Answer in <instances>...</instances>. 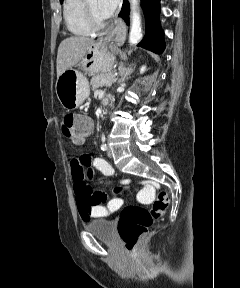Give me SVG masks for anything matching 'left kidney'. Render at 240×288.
Here are the masks:
<instances>
[{"label": "left kidney", "mask_w": 240, "mask_h": 288, "mask_svg": "<svg viewBox=\"0 0 240 288\" xmlns=\"http://www.w3.org/2000/svg\"><path fill=\"white\" fill-rule=\"evenodd\" d=\"M145 70H146V66H142L141 69H140V73H141V74L144 73Z\"/></svg>", "instance_id": "left-kidney-1"}]
</instances>
